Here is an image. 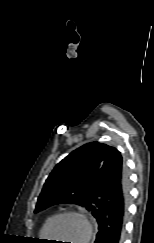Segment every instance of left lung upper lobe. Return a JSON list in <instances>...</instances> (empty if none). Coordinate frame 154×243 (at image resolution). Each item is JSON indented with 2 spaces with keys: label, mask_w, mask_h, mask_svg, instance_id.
Instances as JSON below:
<instances>
[{
  "label": "left lung upper lobe",
  "mask_w": 154,
  "mask_h": 243,
  "mask_svg": "<svg viewBox=\"0 0 154 243\" xmlns=\"http://www.w3.org/2000/svg\"><path fill=\"white\" fill-rule=\"evenodd\" d=\"M113 149L92 142L74 150L58 163L47 178L38 197L35 212L60 203L86 208L96 218L92 187L108 153Z\"/></svg>",
  "instance_id": "left-lung-upper-lobe-1"
}]
</instances>
